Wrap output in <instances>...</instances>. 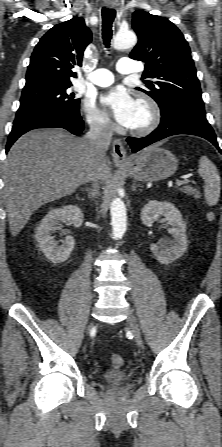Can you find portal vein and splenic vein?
Segmentation results:
<instances>
[{"instance_id":"obj_1","label":"portal vein and splenic vein","mask_w":222,"mask_h":447,"mask_svg":"<svg viewBox=\"0 0 222 447\" xmlns=\"http://www.w3.org/2000/svg\"><path fill=\"white\" fill-rule=\"evenodd\" d=\"M189 183H190V180H188V179L178 180L176 182V187H180L182 185H188Z\"/></svg>"}]
</instances>
